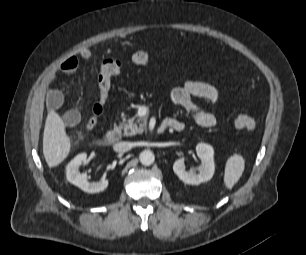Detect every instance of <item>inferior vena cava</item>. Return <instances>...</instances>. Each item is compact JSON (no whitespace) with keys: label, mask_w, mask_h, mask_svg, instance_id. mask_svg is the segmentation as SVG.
<instances>
[{"label":"inferior vena cava","mask_w":306,"mask_h":255,"mask_svg":"<svg viewBox=\"0 0 306 255\" xmlns=\"http://www.w3.org/2000/svg\"><path fill=\"white\" fill-rule=\"evenodd\" d=\"M132 148V144L130 142H119L113 146L114 151L119 153H124L129 151Z\"/></svg>","instance_id":"602c4592"}]
</instances>
